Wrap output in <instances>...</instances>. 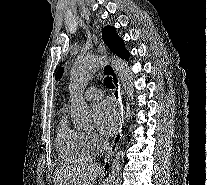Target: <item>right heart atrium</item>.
I'll return each instance as SVG.
<instances>
[{
    "instance_id": "1",
    "label": "right heart atrium",
    "mask_w": 207,
    "mask_h": 185,
    "mask_svg": "<svg viewBox=\"0 0 207 185\" xmlns=\"http://www.w3.org/2000/svg\"><path fill=\"white\" fill-rule=\"evenodd\" d=\"M89 138L95 142L96 144H100L101 143V138L95 133V132H89L87 133Z\"/></svg>"
}]
</instances>
